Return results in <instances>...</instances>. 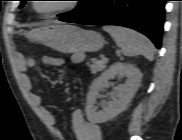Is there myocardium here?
<instances>
[{
  "mask_svg": "<svg viewBox=\"0 0 182 140\" xmlns=\"http://www.w3.org/2000/svg\"><path fill=\"white\" fill-rule=\"evenodd\" d=\"M38 4H34L33 5V9L36 13H38L41 17L44 18H49V17H54L56 15H60L69 11H72L73 9H75L77 7V4L75 1H68V3L60 8V9H56V10H51L48 12H42L39 10V8L37 7Z\"/></svg>",
  "mask_w": 182,
  "mask_h": 140,
  "instance_id": "obj_1",
  "label": "myocardium"
}]
</instances>
